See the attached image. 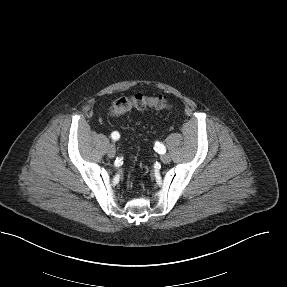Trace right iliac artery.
<instances>
[{
    "mask_svg": "<svg viewBox=\"0 0 287 287\" xmlns=\"http://www.w3.org/2000/svg\"><path fill=\"white\" fill-rule=\"evenodd\" d=\"M111 137L114 140H118L120 138V135L117 131H114V132H112Z\"/></svg>",
    "mask_w": 287,
    "mask_h": 287,
    "instance_id": "right-iliac-artery-1",
    "label": "right iliac artery"
}]
</instances>
